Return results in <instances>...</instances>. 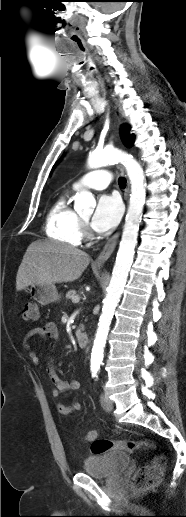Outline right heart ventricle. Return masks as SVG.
I'll list each match as a JSON object with an SVG mask.
<instances>
[{
	"mask_svg": "<svg viewBox=\"0 0 186 517\" xmlns=\"http://www.w3.org/2000/svg\"><path fill=\"white\" fill-rule=\"evenodd\" d=\"M46 234L62 243L78 246L83 238L79 215L70 207L68 194L63 193L52 203L46 216Z\"/></svg>",
	"mask_w": 186,
	"mask_h": 517,
	"instance_id": "obj_1",
	"label": "right heart ventricle"
}]
</instances>
